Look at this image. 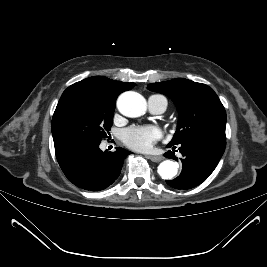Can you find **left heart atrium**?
Here are the masks:
<instances>
[{
  "label": "left heart atrium",
  "instance_id": "39dd6f15",
  "mask_svg": "<svg viewBox=\"0 0 267 267\" xmlns=\"http://www.w3.org/2000/svg\"><path fill=\"white\" fill-rule=\"evenodd\" d=\"M162 133L155 126H132L122 131L121 139L130 148L149 151Z\"/></svg>",
  "mask_w": 267,
  "mask_h": 267
}]
</instances>
